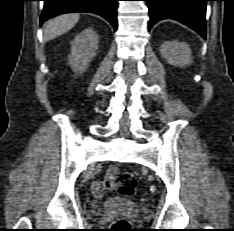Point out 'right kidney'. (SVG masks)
<instances>
[{"label":"right kidney","instance_id":"obj_1","mask_svg":"<svg viewBox=\"0 0 234 231\" xmlns=\"http://www.w3.org/2000/svg\"><path fill=\"white\" fill-rule=\"evenodd\" d=\"M98 44L99 37L92 28L85 29L75 37L69 56V64L74 72L86 71L97 53Z\"/></svg>","mask_w":234,"mask_h":231}]
</instances>
